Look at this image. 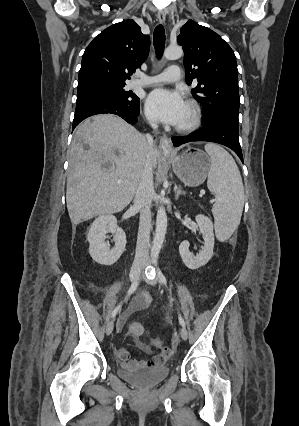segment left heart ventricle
Returning a JSON list of instances; mask_svg holds the SVG:
<instances>
[{"label": "left heart ventricle", "mask_w": 299, "mask_h": 426, "mask_svg": "<svg viewBox=\"0 0 299 426\" xmlns=\"http://www.w3.org/2000/svg\"><path fill=\"white\" fill-rule=\"evenodd\" d=\"M190 119H191V110L186 105V110H185V113H184V117H183L181 123L178 126H183V125L188 124L189 121H190Z\"/></svg>", "instance_id": "b2bd125f"}]
</instances>
